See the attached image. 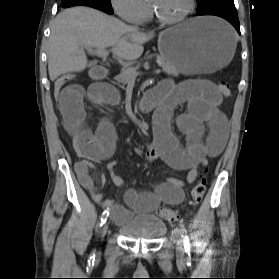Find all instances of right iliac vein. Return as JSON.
<instances>
[{
	"label": "right iliac vein",
	"instance_id": "1",
	"mask_svg": "<svg viewBox=\"0 0 279 279\" xmlns=\"http://www.w3.org/2000/svg\"><path fill=\"white\" fill-rule=\"evenodd\" d=\"M108 231V223L106 222L101 229V237L103 238Z\"/></svg>",
	"mask_w": 279,
	"mask_h": 279
}]
</instances>
